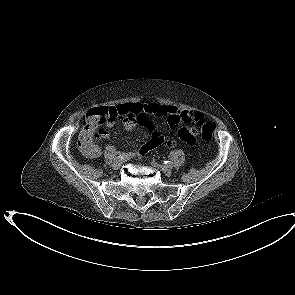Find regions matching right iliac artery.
<instances>
[{
  "label": "right iliac artery",
  "mask_w": 295,
  "mask_h": 295,
  "mask_svg": "<svg viewBox=\"0 0 295 295\" xmlns=\"http://www.w3.org/2000/svg\"><path fill=\"white\" fill-rule=\"evenodd\" d=\"M131 156H134V154L133 153H129V154H120L118 157H117V160H121V161H123V160H127V159H129Z\"/></svg>",
  "instance_id": "obj_1"
}]
</instances>
